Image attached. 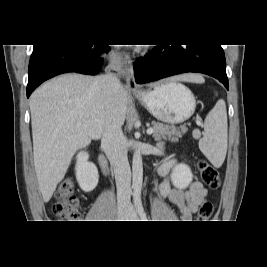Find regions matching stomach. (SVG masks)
Here are the masks:
<instances>
[{
    "label": "stomach",
    "instance_id": "obj_1",
    "mask_svg": "<svg viewBox=\"0 0 267 267\" xmlns=\"http://www.w3.org/2000/svg\"><path fill=\"white\" fill-rule=\"evenodd\" d=\"M137 99L157 119L168 124H178L189 119L195 111L193 93L176 81H163L142 93Z\"/></svg>",
    "mask_w": 267,
    "mask_h": 267
}]
</instances>
